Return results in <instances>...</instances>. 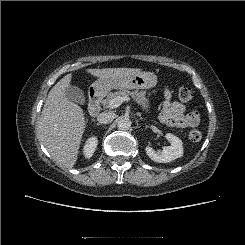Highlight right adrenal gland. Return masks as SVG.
Returning a JSON list of instances; mask_svg holds the SVG:
<instances>
[{
    "label": "right adrenal gland",
    "mask_w": 245,
    "mask_h": 245,
    "mask_svg": "<svg viewBox=\"0 0 245 245\" xmlns=\"http://www.w3.org/2000/svg\"><path fill=\"white\" fill-rule=\"evenodd\" d=\"M93 122H95V120H92ZM96 125H100L99 123H96Z\"/></svg>",
    "instance_id": "obj_1"
}]
</instances>
